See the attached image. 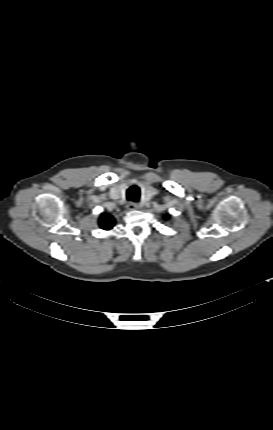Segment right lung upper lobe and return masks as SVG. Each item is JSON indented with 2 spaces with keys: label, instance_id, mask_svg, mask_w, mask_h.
Here are the masks:
<instances>
[{
  "label": "right lung upper lobe",
  "instance_id": "cb5924a9",
  "mask_svg": "<svg viewBox=\"0 0 273 430\" xmlns=\"http://www.w3.org/2000/svg\"><path fill=\"white\" fill-rule=\"evenodd\" d=\"M99 225L104 230H110L114 226V218L108 214H102L99 218Z\"/></svg>",
  "mask_w": 273,
  "mask_h": 430
}]
</instances>
